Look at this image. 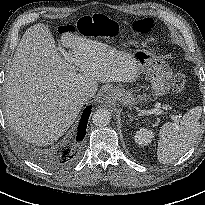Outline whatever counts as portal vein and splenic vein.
<instances>
[{"label":"portal vein and splenic vein","instance_id":"portal-vein-and-splenic-vein-1","mask_svg":"<svg viewBox=\"0 0 205 205\" xmlns=\"http://www.w3.org/2000/svg\"><path fill=\"white\" fill-rule=\"evenodd\" d=\"M62 54L64 55V57L66 58L67 61L72 62L73 59L69 56V54L67 52H62ZM165 110H167V107H164ZM145 113L147 114H156V115H160L163 113L162 110L159 109H151V110H147ZM171 119L173 120H178L180 118V116L178 115H170Z\"/></svg>","mask_w":205,"mask_h":205}]
</instances>
